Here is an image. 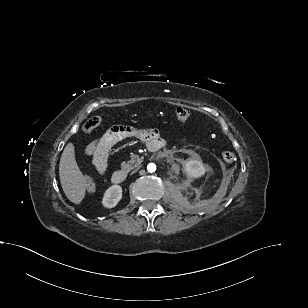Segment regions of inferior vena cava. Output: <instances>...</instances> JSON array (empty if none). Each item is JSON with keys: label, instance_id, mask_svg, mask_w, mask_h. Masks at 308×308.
<instances>
[{"label": "inferior vena cava", "instance_id": "obj_1", "mask_svg": "<svg viewBox=\"0 0 308 308\" xmlns=\"http://www.w3.org/2000/svg\"><path fill=\"white\" fill-rule=\"evenodd\" d=\"M130 173H131V175L134 176V175H136L138 173V170L134 168V169L131 170Z\"/></svg>", "mask_w": 308, "mask_h": 308}]
</instances>
